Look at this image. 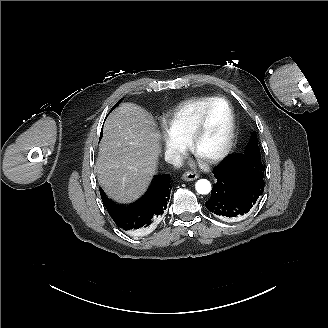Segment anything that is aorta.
Listing matches in <instances>:
<instances>
[{
	"label": "aorta",
	"mask_w": 328,
	"mask_h": 328,
	"mask_svg": "<svg viewBox=\"0 0 328 328\" xmlns=\"http://www.w3.org/2000/svg\"><path fill=\"white\" fill-rule=\"evenodd\" d=\"M196 191L199 194L205 195L211 191V183L207 179H200L195 184Z\"/></svg>",
	"instance_id": "aorta-1"
}]
</instances>
